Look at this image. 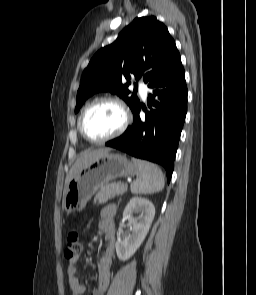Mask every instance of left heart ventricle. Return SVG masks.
Segmentation results:
<instances>
[{
  "label": "left heart ventricle",
  "instance_id": "obj_1",
  "mask_svg": "<svg viewBox=\"0 0 256 295\" xmlns=\"http://www.w3.org/2000/svg\"><path fill=\"white\" fill-rule=\"evenodd\" d=\"M122 121L123 116L118 107L111 103H102L88 114L85 129L89 136L100 139L117 131Z\"/></svg>",
  "mask_w": 256,
  "mask_h": 295
}]
</instances>
